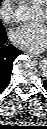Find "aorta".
Instances as JSON below:
<instances>
[{"label":"aorta","mask_w":47,"mask_h":129,"mask_svg":"<svg viewBox=\"0 0 47 129\" xmlns=\"http://www.w3.org/2000/svg\"><path fill=\"white\" fill-rule=\"evenodd\" d=\"M14 14L16 19L19 21L32 22L36 18L37 10L33 6L22 4L18 6ZM41 69H42V72L46 75L47 63L45 61L43 62Z\"/></svg>","instance_id":"1"}]
</instances>
